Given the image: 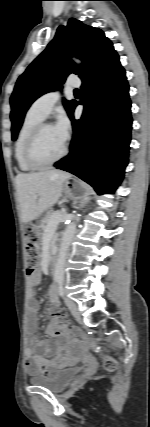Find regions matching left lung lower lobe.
<instances>
[{
  "instance_id": "0a47b994",
  "label": "left lung lower lobe",
  "mask_w": 150,
  "mask_h": 427,
  "mask_svg": "<svg viewBox=\"0 0 150 427\" xmlns=\"http://www.w3.org/2000/svg\"><path fill=\"white\" fill-rule=\"evenodd\" d=\"M82 82L81 101L69 114L74 132L70 153L54 166L78 176L98 194L113 193L128 163L132 128L129 85L116 51L112 49ZM78 104L84 111L75 120Z\"/></svg>"
}]
</instances>
